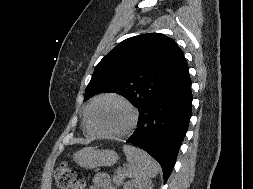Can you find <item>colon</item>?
I'll return each mask as SVG.
<instances>
[{"instance_id":"1","label":"colon","mask_w":253,"mask_h":189,"mask_svg":"<svg viewBox=\"0 0 253 189\" xmlns=\"http://www.w3.org/2000/svg\"><path fill=\"white\" fill-rule=\"evenodd\" d=\"M54 178L59 189H83L84 186L83 181L67 165H61L55 171Z\"/></svg>"}]
</instances>
